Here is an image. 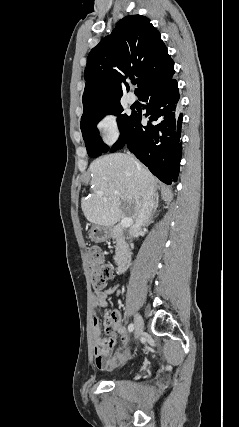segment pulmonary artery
I'll return each instance as SVG.
<instances>
[{
	"instance_id": "obj_1",
	"label": "pulmonary artery",
	"mask_w": 239,
	"mask_h": 427,
	"mask_svg": "<svg viewBox=\"0 0 239 427\" xmlns=\"http://www.w3.org/2000/svg\"><path fill=\"white\" fill-rule=\"evenodd\" d=\"M126 98L127 102L130 104H133L136 101V97L133 93H128Z\"/></svg>"
}]
</instances>
